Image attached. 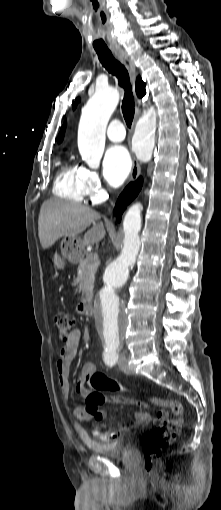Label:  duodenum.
I'll return each instance as SVG.
<instances>
[{
  "instance_id": "410a0bca",
  "label": "duodenum",
  "mask_w": 221,
  "mask_h": 510,
  "mask_svg": "<svg viewBox=\"0 0 221 510\" xmlns=\"http://www.w3.org/2000/svg\"><path fill=\"white\" fill-rule=\"evenodd\" d=\"M94 302H95V298H91V299H88L86 300L84 303H82L80 305L82 311L86 314V315H91L92 312H93V308H94Z\"/></svg>"
}]
</instances>
